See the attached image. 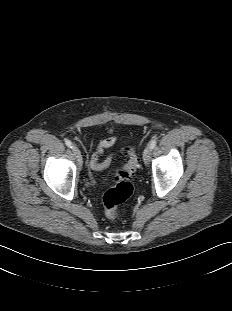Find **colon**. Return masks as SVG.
<instances>
[{
  "instance_id": "5ec220e1",
  "label": "colon",
  "mask_w": 232,
  "mask_h": 311,
  "mask_svg": "<svg viewBox=\"0 0 232 311\" xmlns=\"http://www.w3.org/2000/svg\"><path fill=\"white\" fill-rule=\"evenodd\" d=\"M128 162L117 170L115 185L107 190L102 198L104 213L108 219L114 220L118 217V207L128 200L133 194L132 178L139 166V160L133 148H127Z\"/></svg>"
}]
</instances>
